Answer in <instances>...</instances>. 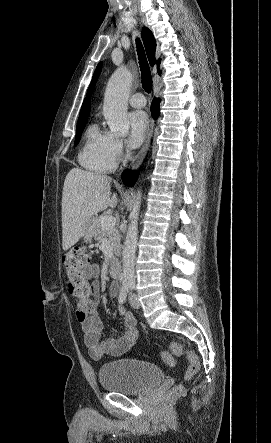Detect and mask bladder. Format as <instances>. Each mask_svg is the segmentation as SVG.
Segmentation results:
<instances>
[{
  "label": "bladder",
  "mask_w": 271,
  "mask_h": 443,
  "mask_svg": "<svg viewBox=\"0 0 271 443\" xmlns=\"http://www.w3.org/2000/svg\"><path fill=\"white\" fill-rule=\"evenodd\" d=\"M163 380L162 370L151 363L136 359H116L99 369V382L110 392L135 394L158 385Z\"/></svg>",
  "instance_id": "obj_1"
}]
</instances>
